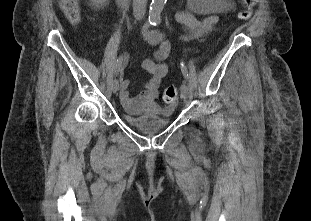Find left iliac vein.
Here are the masks:
<instances>
[{
	"label": "left iliac vein",
	"mask_w": 311,
	"mask_h": 221,
	"mask_svg": "<svg viewBox=\"0 0 311 221\" xmlns=\"http://www.w3.org/2000/svg\"><path fill=\"white\" fill-rule=\"evenodd\" d=\"M181 97L186 99L189 95V87L186 84L181 85Z\"/></svg>",
	"instance_id": "left-iliac-vein-1"
}]
</instances>
